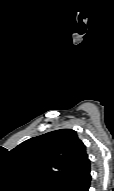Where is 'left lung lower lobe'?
Returning <instances> with one entry per match:
<instances>
[{
    "label": "left lung lower lobe",
    "instance_id": "1",
    "mask_svg": "<svg viewBox=\"0 0 114 191\" xmlns=\"http://www.w3.org/2000/svg\"><path fill=\"white\" fill-rule=\"evenodd\" d=\"M90 181V163L88 162L63 191H88Z\"/></svg>",
    "mask_w": 114,
    "mask_h": 191
}]
</instances>
